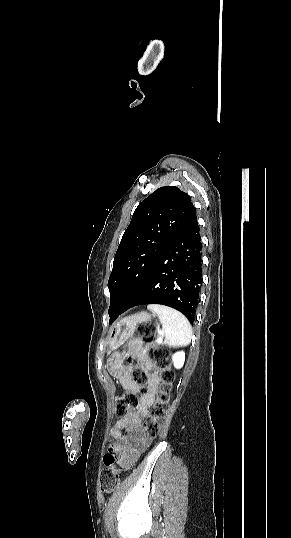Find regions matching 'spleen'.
<instances>
[{
    "label": "spleen",
    "mask_w": 291,
    "mask_h": 538,
    "mask_svg": "<svg viewBox=\"0 0 291 538\" xmlns=\"http://www.w3.org/2000/svg\"><path fill=\"white\" fill-rule=\"evenodd\" d=\"M147 308L158 315L167 344L184 346L190 343L192 328L182 313L158 304L148 305Z\"/></svg>",
    "instance_id": "obj_1"
}]
</instances>
